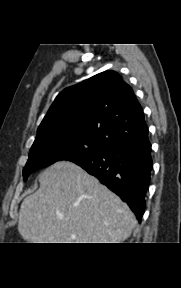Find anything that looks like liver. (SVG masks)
I'll use <instances>...</instances> for the list:
<instances>
[{
	"label": "liver",
	"mask_w": 181,
	"mask_h": 288,
	"mask_svg": "<svg viewBox=\"0 0 181 288\" xmlns=\"http://www.w3.org/2000/svg\"><path fill=\"white\" fill-rule=\"evenodd\" d=\"M39 183L20 207L18 231L25 241L121 243L136 226L128 205L72 162L49 166Z\"/></svg>",
	"instance_id": "6515ba94"
}]
</instances>
